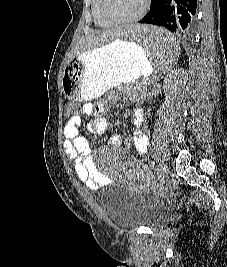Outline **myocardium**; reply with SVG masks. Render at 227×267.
Returning <instances> with one entry per match:
<instances>
[{
	"instance_id": "obj_1",
	"label": "myocardium",
	"mask_w": 227,
	"mask_h": 267,
	"mask_svg": "<svg viewBox=\"0 0 227 267\" xmlns=\"http://www.w3.org/2000/svg\"><path fill=\"white\" fill-rule=\"evenodd\" d=\"M150 0H144L141 10L134 16L126 19H117L113 17L107 8L108 0H101V12L105 19L112 24H129L139 21L148 11Z\"/></svg>"
}]
</instances>
